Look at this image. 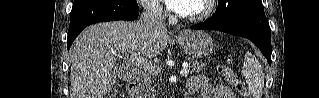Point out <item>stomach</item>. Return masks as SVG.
I'll use <instances>...</instances> for the list:
<instances>
[{
	"label": "stomach",
	"instance_id": "1",
	"mask_svg": "<svg viewBox=\"0 0 319 98\" xmlns=\"http://www.w3.org/2000/svg\"><path fill=\"white\" fill-rule=\"evenodd\" d=\"M181 43L185 53L197 59L205 58L214 51L212 38L203 31H186Z\"/></svg>",
	"mask_w": 319,
	"mask_h": 98
}]
</instances>
